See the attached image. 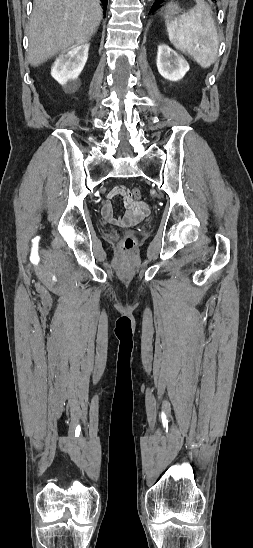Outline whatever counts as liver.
<instances>
[{
    "label": "liver",
    "instance_id": "6515ba94",
    "mask_svg": "<svg viewBox=\"0 0 253 548\" xmlns=\"http://www.w3.org/2000/svg\"><path fill=\"white\" fill-rule=\"evenodd\" d=\"M99 0H34L28 26V60L38 66L73 45L86 43L102 20Z\"/></svg>",
    "mask_w": 253,
    "mask_h": 548
}]
</instances>
